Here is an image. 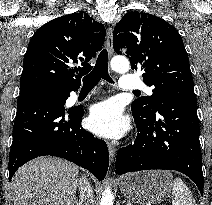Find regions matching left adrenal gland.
<instances>
[{
	"instance_id": "left-adrenal-gland-1",
	"label": "left adrenal gland",
	"mask_w": 212,
	"mask_h": 205,
	"mask_svg": "<svg viewBox=\"0 0 212 205\" xmlns=\"http://www.w3.org/2000/svg\"><path fill=\"white\" fill-rule=\"evenodd\" d=\"M127 205H131V203H130V202H128V203H127Z\"/></svg>"
}]
</instances>
